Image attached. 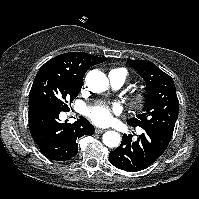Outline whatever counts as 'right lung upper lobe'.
<instances>
[{"label":"right lung upper lobe","instance_id":"1","mask_svg":"<svg viewBox=\"0 0 199 199\" xmlns=\"http://www.w3.org/2000/svg\"><path fill=\"white\" fill-rule=\"evenodd\" d=\"M84 52H70L56 56L46 62L39 72H53L82 82L84 74L93 65L106 61Z\"/></svg>","mask_w":199,"mask_h":199}]
</instances>
